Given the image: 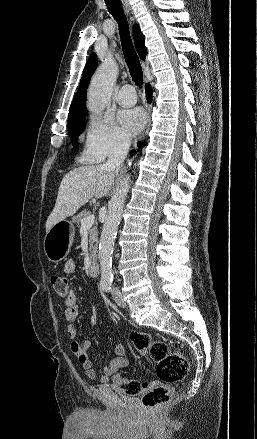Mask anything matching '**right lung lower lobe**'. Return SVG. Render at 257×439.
I'll use <instances>...</instances> for the list:
<instances>
[{
	"label": "right lung lower lobe",
	"mask_w": 257,
	"mask_h": 439,
	"mask_svg": "<svg viewBox=\"0 0 257 439\" xmlns=\"http://www.w3.org/2000/svg\"><path fill=\"white\" fill-rule=\"evenodd\" d=\"M145 91H146V98H147V101H148L149 103H151V101H152V93H153V91H152V88H151V86H150L149 84H146V86H145ZM135 153H136V151H134V150L131 151V154H135Z\"/></svg>",
	"instance_id": "98d812e1"
}]
</instances>
